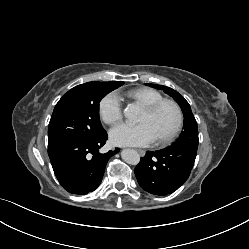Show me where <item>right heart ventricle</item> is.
Listing matches in <instances>:
<instances>
[{
    "mask_svg": "<svg viewBox=\"0 0 249 249\" xmlns=\"http://www.w3.org/2000/svg\"><path fill=\"white\" fill-rule=\"evenodd\" d=\"M125 96L141 106L149 105L164 99L160 92L147 87L131 89L125 93Z\"/></svg>",
    "mask_w": 249,
    "mask_h": 249,
    "instance_id": "e07e8e85",
    "label": "right heart ventricle"
}]
</instances>
